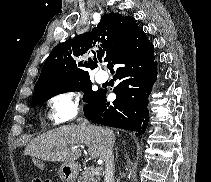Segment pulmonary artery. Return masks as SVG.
<instances>
[{"label": "pulmonary artery", "mask_w": 211, "mask_h": 182, "mask_svg": "<svg viewBox=\"0 0 211 182\" xmlns=\"http://www.w3.org/2000/svg\"><path fill=\"white\" fill-rule=\"evenodd\" d=\"M108 79V76L105 72L101 71V72H98L97 75H96V80L97 82L99 83H103L105 82L106 80Z\"/></svg>", "instance_id": "pulmonary-artery-1"}]
</instances>
